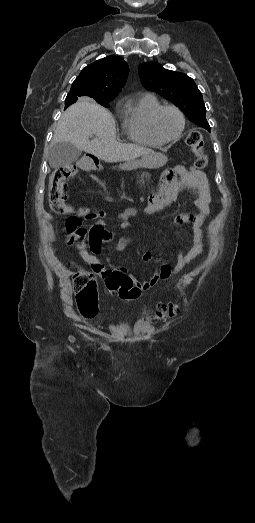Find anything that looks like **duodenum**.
Returning a JSON list of instances; mask_svg holds the SVG:
<instances>
[{"label": "duodenum", "mask_w": 255, "mask_h": 523, "mask_svg": "<svg viewBox=\"0 0 255 523\" xmlns=\"http://www.w3.org/2000/svg\"><path fill=\"white\" fill-rule=\"evenodd\" d=\"M79 167L84 171H94L99 169V159L94 155H85L79 161Z\"/></svg>", "instance_id": "obj_1"}]
</instances>
